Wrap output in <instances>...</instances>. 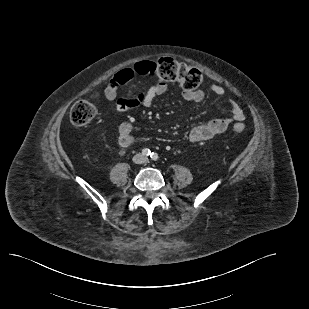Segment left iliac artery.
<instances>
[{"mask_svg": "<svg viewBox=\"0 0 309 309\" xmlns=\"http://www.w3.org/2000/svg\"><path fill=\"white\" fill-rule=\"evenodd\" d=\"M150 157L152 158V160H157L158 159V154L157 153H151Z\"/></svg>", "mask_w": 309, "mask_h": 309, "instance_id": "left-iliac-artery-1", "label": "left iliac artery"}]
</instances>
